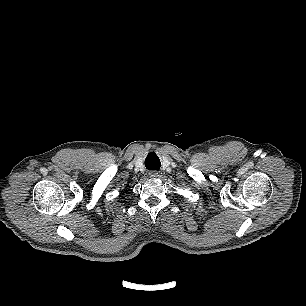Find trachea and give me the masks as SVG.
Segmentation results:
<instances>
[{
    "label": "trachea",
    "instance_id": "obj_1",
    "mask_svg": "<svg viewBox=\"0 0 306 306\" xmlns=\"http://www.w3.org/2000/svg\"><path fill=\"white\" fill-rule=\"evenodd\" d=\"M145 166L149 170H158L160 168V160L155 153H150L147 156Z\"/></svg>",
    "mask_w": 306,
    "mask_h": 306
}]
</instances>
